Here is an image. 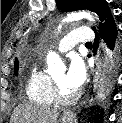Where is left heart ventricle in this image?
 Instances as JSON below:
<instances>
[{
	"mask_svg": "<svg viewBox=\"0 0 122 123\" xmlns=\"http://www.w3.org/2000/svg\"><path fill=\"white\" fill-rule=\"evenodd\" d=\"M64 76H65V73L64 72H61V73L55 75L53 77V79L57 82V84L59 85V87L61 88V90L65 94H72L75 91L74 90H71V89H69L68 87L65 86V84H64Z\"/></svg>",
	"mask_w": 122,
	"mask_h": 123,
	"instance_id": "left-heart-ventricle-1",
	"label": "left heart ventricle"
}]
</instances>
